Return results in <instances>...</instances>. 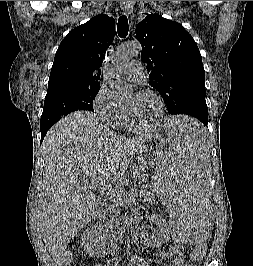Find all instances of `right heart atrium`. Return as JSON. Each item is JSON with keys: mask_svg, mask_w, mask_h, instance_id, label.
I'll return each mask as SVG.
<instances>
[{"mask_svg": "<svg viewBox=\"0 0 253 266\" xmlns=\"http://www.w3.org/2000/svg\"><path fill=\"white\" fill-rule=\"evenodd\" d=\"M92 105L94 111L106 124L114 126L125 122L126 115L123 108L106 86H101L98 89Z\"/></svg>", "mask_w": 253, "mask_h": 266, "instance_id": "d8ad5b80", "label": "right heart atrium"}]
</instances>
